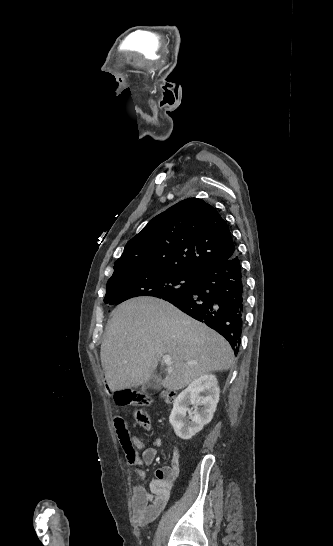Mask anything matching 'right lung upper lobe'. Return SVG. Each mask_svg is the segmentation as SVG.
Segmentation results:
<instances>
[{"instance_id":"cb5924a9","label":"right lung upper lobe","mask_w":333,"mask_h":546,"mask_svg":"<svg viewBox=\"0 0 333 546\" xmlns=\"http://www.w3.org/2000/svg\"><path fill=\"white\" fill-rule=\"evenodd\" d=\"M237 253L226 222L215 208L188 198L154 217L128 241L114 270H144L199 276Z\"/></svg>"}]
</instances>
